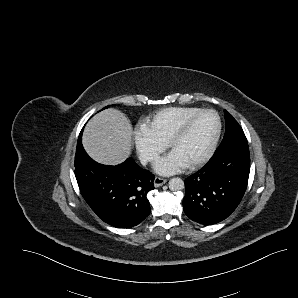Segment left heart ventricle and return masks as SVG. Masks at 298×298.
<instances>
[{"mask_svg": "<svg viewBox=\"0 0 298 298\" xmlns=\"http://www.w3.org/2000/svg\"><path fill=\"white\" fill-rule=\"evenodd\" d=\"M215 120L209 114L195 119L176 140L170 153L186 165L198 158L207 148L215 132Z\"/></svg>", "mask_w": 298, "mask_h": 298, "instance_id": "left-heart-ventricle-1", "label": "left heart ventricle"}]
</instances>
